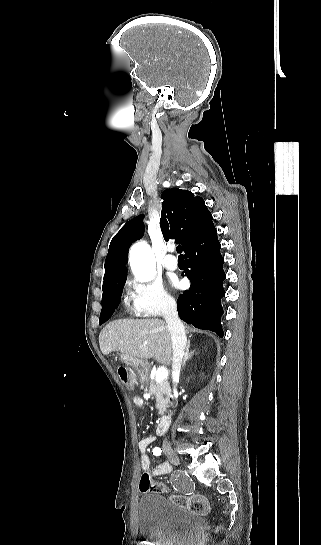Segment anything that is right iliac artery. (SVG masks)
<instances>
[{"label":"right iliac artery","mask_w":321,"mask_h":545,"mask_svg":"<svg viewBox=\"0 0 321 545\" xmlns=\"http://www.w3.org/2000/svg\"><path fill=\"white\" fill-rule=\"evenodd\" d=\"M161 453H162V450H161V448H159V447H155V448L153 449V454H154V455H156V456H160V455H161Z\"/></svg>","instance_id":"obj_1"}]
</instances>
